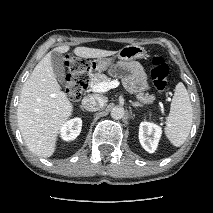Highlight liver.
Returning <instances> with one entry per match:
<instances>
[{
  "label": "liver",
  "instance_id": "liver-1",
  "mask_svg": "<svg viewBox=\"0 0 213 213\" xmlns=\"http://www.w3.org/2000/svg\"><path fill=\"white\" fill-rule=\"evenodd\" d=\"M69 46H59L52 51L66 53ZM51 51V52H52ZM51 52L36 65L24 83L17 108V121L21 135L29 150L39 157H50L62 126L71 117L73 105L61 91L52 64ZM76 56L102 58L114 55L115 51L76 47Z\"/></svg>",
  "mask_w": 213,
  "mask_h": 213
}]
</instances>
